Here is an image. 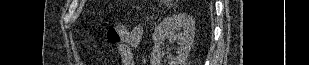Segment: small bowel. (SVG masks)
Listing matches in <instances>:
<instances>
[{"mask_svg":"<svg viewBox=\"0 0 309 65\" xmlns=\"http://www.w3.org/2000/svg\"><path fill=\"white\" fill-rule=\"evenodd\" d=\"M143 29L136 26L127 31L125 38L118 44L117 52L123 65H135V49L142 40Z\"/></svg>","mask_w":309,"mask_h":65,"instance_id":"small-bowel-1","label":"small bowel"}]
</instances>
